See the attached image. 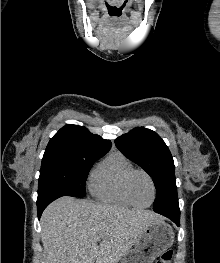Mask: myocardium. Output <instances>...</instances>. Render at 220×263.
Listing matches in <instances>:
<instances>
[{"mask_svg":"<svg viewBox=\"0 0 220 263\" xmlns=\"http://www.w3.org/2000/svg\"><path fill=\"white\" fill-rule=\"evenodd\" d=\"M137 174L144 175L148 179V181L150 182V185H151V188H152V199H151V201L148 204H145V205L138 204L134 200V198L132 196V193H131V183H132V180H133L134 176H136ZM124 189H125L126 197L130 201V203L132 205L138 207V208L149 207V206H151L153 204V202L156 199L157 190H156L155 181H154V179L152 178V176L148 172H146L145 170H142V169H134L127 175L126 180H125V184H124Z\"/></svg>","mask_w":220,"mask_h":263,"instance_id":"1","label":"myocardium"}]
</instances>
